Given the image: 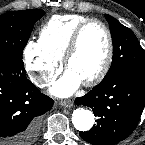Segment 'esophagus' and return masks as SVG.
Masks as SVG:
<instances>
[{
  "instance_id": "1",
  "label": "esophagus",
  "mask_w": 145,
  "mask_h": 145,
  "mask_svg": "<svg viewBox=\"0 0 145 145\" xmlns=\"http://www.w3.org/2000/svg\"><path fill=\"white\" fill-rule=\"evenodd\" d=\"M59 104L65 108H70L73 106L74 103L72 100H62V101H60Z\"/></svg>"
}]
</instances>
